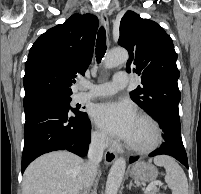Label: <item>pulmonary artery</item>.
Instances as JSON below:
<instances>
[{"label": "pulmonary artery", "instance_id": "1", "mask_svg": "<svg viewBox=\"0 0 201 194\" xmlns=\"http://www.w3.org/2000/svg\"><path fill=\"white\" fill-rule=\"evenodd\" d=\"M128 84V75L125 72L115 74L111 82L93 85L89 92L77 94V101L84 102L90 99L114 95Z\"/></svg>", "mask_w": 201, "mask_h": 194}]
</instances>
